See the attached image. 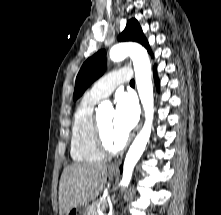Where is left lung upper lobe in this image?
Listing matches in <instances>:
<instances>
[{
  "mask_svg": "<svg viewBox=\"0 0 221 215\" xmlns=\"http://www.w3.org/2000/svg\"><path fill=\"white\" fill-rule=\"evenodd\" d=\"M119 41H133L145 46L150 54H152L147 39L136 19H130L124 31L118 37ZM106 70V51L100 50L93 56L88 58L82 65L75 84L73 99L76 101L85 90L97 80Z\"/></svg>",
  "mask_w": 221,
  "mask_h": 215,
  "instance_id": "obj_1",
  "label": "left lung upper lobe"
}]
</instances>
